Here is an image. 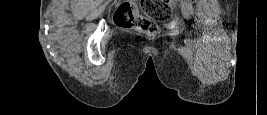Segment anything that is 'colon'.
I'll list each match as a JSON object with an SVG mask.
<instances>
[{"instance_id": "colon-1", "label": "colon", "mask_w": 267, "mask_h": 115, "mask_svg": "<svg viewBox=\"0 0 267 115\" xmlns=\"http://www.w3.org/2000/svg\"><path fill=\"white\" fill-rule=\"evenodd\" d=\"M172 2L173 0H141L145 12L154 21L138 14L135 1L124 2L116 11V23L121 27H135L146 34H157L159 32L158 23L167 22L171 18Z\"/></svg>"}]
</instances>
